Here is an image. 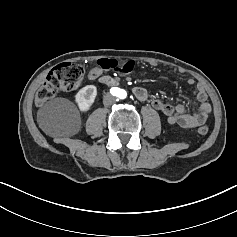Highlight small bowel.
<instances>
[{"mask_svg": "<svg viewBox=\"0 0 237 237\" xmlns=\"http://www.w3.org/2000/svg\"><path fill=\"white\" fill-rule=\"evenodd\" d=\"M102 69L97 66L91 69L88 73L90 79H97L102 74ZM190 86L196 85L197 100L200 105L194 111H187L181 104L172 105L160 99H153L151 101L152 107L161 112L167 119V122L172 125H178L182 128H194L203 124L211 114V104L208 101V96L202 84L195 82L194 79H189ZM135 98L141 102H145L149 98L148 91L143 87H135L133 89Z\"/></svg>", "mask_w": 237, "mask_h": 237, "instance_id": "obj_1", "label": "small bowel"}]
</instances>
